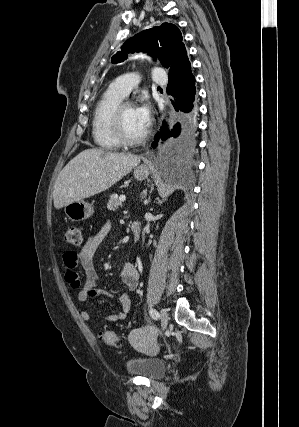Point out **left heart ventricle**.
Wrapping results in <instances>:
<instances>
[{"mask_svg": "<svg viewBox=\"0 0 299 427\" xmlns=\"http://www.w3.org/2000/svg\"><path fill=\"white\" fill-rule=\"evenodd\" d=\"M125 134L130 138L140 136L146 129L140 123L134 107H126L122 115Z\"/></svg>", "mask_w": 299, "mask_h": 427, "instance_id": "obj_1", "label": "left heart ventricle"}]
</instances>
